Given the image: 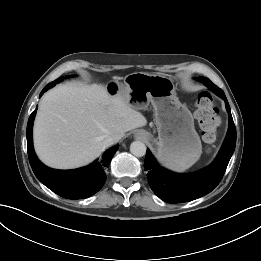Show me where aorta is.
<instances>
[{"instance_id": "obj_1", "label": "aorta", "mask_w": 261, "mask_h": 261, "mask_svg": "<svg viewBox=\"0 0 261 261\" xmlns=\"http://www.w3.org/2000/svg\"><path fill=\"white\" fill-rule=\"evenodd\" d=\"M130 152L136 157H142L146 154V146L141 141H134L130 145Z\"/></svg>"}]
</instances>
